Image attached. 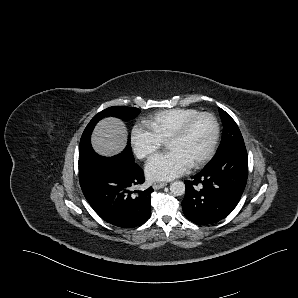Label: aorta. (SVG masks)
<instances>
[{
	"label": "aorta",
	"instance_id": "1",
	"mask_svg": "<svg viewBox=\"0 0 298 298\" xmlns=\"http://www.w3.org/2000/svg\"><path fill=\"white\" fill-rule=\"evenodd\" d=\"M170 192L174 195H182L185 193L186 186L181 180H174L169 185Z\"/></svg>",
	"mask_w": 298,
	"mask_h": 298
}]
</instances>
